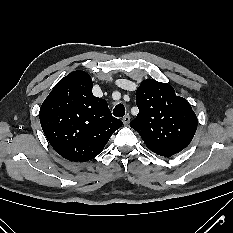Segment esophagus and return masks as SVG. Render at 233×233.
Returning a JSON list of instances; mask_svg holds the SVG:
<instances>
[{"label": "esophagus", "mask_w": 233, "mask_h": 233, "mask_svg": "<svg viewBox=\"0 0 233 233\" xmlns=\"http://www.w3.org/2000/svg\"><path fill=\"white\" fill-rule=\"evenodd\" d=\"M122 121H123V124L127 126L130 123V116L129 115L124 116Z\"/></svg>", "instance_id": "1"}]
</instances>
